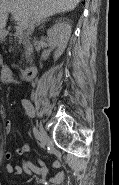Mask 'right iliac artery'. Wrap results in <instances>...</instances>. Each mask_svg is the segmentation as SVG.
<instances>
[{
	"mask_svg": "<svg viewBox=\"0 0 119 185\" xmlns=\"http://www.w3.org/2000/svg\"><path fill=\"white\" fill-rule=\"evenodd\" d=\"M22 105H23L27 115L29 116V118H36V114L34 113L33 106L28 100L23 99ZM33 134L37 140H40L39 131L35 127L33 128Z\"/></svg>",
	"mask_w": 119,
	"mask_h": 185,
	"instance_id": "1",
	"label": "right iliac artery"
}]
</instances>
